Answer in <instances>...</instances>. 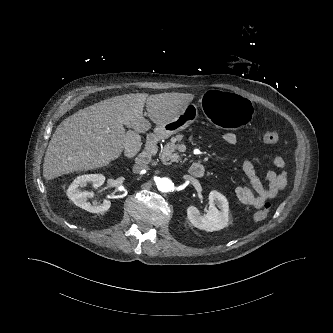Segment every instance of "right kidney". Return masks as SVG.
Returning <instances> with one entry per match:
<instances>
[{"label":"right kidney","instance_id":"obj_1","mask_svg":"<svg viewBox=\"0 0 333 333\" xmlns=\"http://www.w3.org/2000/svg\"><path fill=\"white\" fill-rule=\"evenodd\" d=\"M88 182L92 183L94 188H98L105 182V177L102 174H85L78 176L67 190L68 197L75 205L91 213L98 214L106 212L111 206L109 200H104L102 204H91L87 202L88 198L93 196V192L82 191L80 188L85 187Z\"/></svg>","mask_w":333,"mask_h":333}]
</instances>
